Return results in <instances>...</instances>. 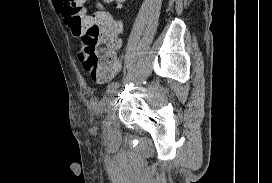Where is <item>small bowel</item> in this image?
<instances>
[{
    "label": "small bowel",
    "instance_id": "obj_1",
    "mask_svg": "<svg viewBox=\"0 0 272 183\" xmlns=\"http://www.w3.org/2000/svg\"><path fill=\"white\" fill-rule=\"evenodd\" d=\"M54 2H55V5H56V8H57L58 12L62 15L63 18H65V16H64V6H63V3L61 2V0H54ZM119 66H120V63L118 61V65H117L115 71L107 79L101 80V79L95 78L93 76H92V78L94 79V81H97V82H106V81H109L113 77H115V75L117 74V72L119 70Z\"/></svg>",
    "mask_w": 272,
    "mask_h": 183
}]
</instances>
